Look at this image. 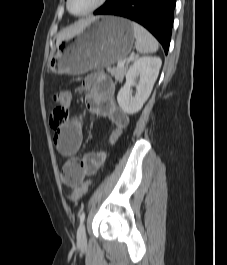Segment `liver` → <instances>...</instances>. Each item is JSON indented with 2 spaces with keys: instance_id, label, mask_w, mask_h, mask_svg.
<instances>
[{
  "instance_id": "6515ba94",
  "label": "liver",
  "mask_w": 227,
  "mask_h": 265,
  "mask_svg": "<svg viewBox=\"0 0 227 265\" xmlns=\"http://www.w3.org/2000/svg\"><path fill=\"white\" fill-rule=\"evenodd\" d=\"M85 26H86V23L80 22V23L72 25L66 29H63L58 34L56 45L58 46L63 40L69 39V38H72V37L78 35L79 33H81L83 31Z\"/></svg>"
}]
</instances>
